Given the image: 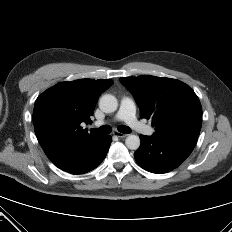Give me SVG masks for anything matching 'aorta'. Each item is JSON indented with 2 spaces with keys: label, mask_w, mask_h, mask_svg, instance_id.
Listing matches in <instances>:
<instances>
[{
  "label": "aorta",
  "mask_w": 232,
  "mask_h": 232,
  "mask_svg": "<svg viewBox=\"0 0 232 232\" xmlns=\"http://www.w3.org/2000/svg\"><path fill=\"white\" fill-rule=\"evenodd\" d=\"M99 107L105 113H112L117 110L118 101L115 96L105 94L99 100ZM125 144L130 150H137L140 146V139L137 135H129L125 140Z\"/></svg>",
  "instance_id": "762f6f07"
}]
</instances>
